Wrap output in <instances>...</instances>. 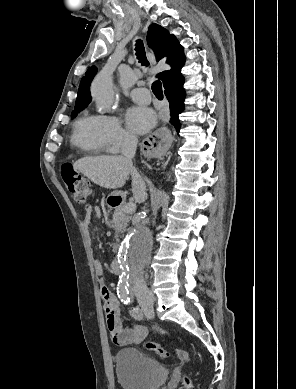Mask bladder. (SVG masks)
<instances>
[{"instance_id":"31cf9c89","label":"bladder","mask_w":296,"mask_h":389,"mask_svg":"<svg viewBox=\"0 0 296 389\" xmlns=\"http://www.w3.org/2000/svg\"><path fill=\"white\" fill-rule=\"evenodd\" d=\"M117 380L123 389H158L168 379V369L139 350L126 348L114 357Z\"/></svg>"}]
</instances>
